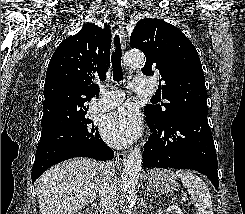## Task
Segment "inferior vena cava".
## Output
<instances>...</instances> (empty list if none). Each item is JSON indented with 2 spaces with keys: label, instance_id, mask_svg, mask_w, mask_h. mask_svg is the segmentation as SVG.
<instances>
[{
  "label": "inferior vena cava",
  "instance_id": "602c4592",
  "mask_svg": "<svg viewBox=\"0 0 245 214\" xmlns=\"http://www.w3.org/2000/svg\"><path fill=\"white\" fill-rule=\"evenodd\" d=\"M116 173L113 163H106L103 167V175L99 186L100 205L105 214H118L114 208L116 201Z\"/></svg>",
  "mask_w": 245,
  "mask_h": 214
}]
</instances>
